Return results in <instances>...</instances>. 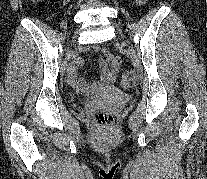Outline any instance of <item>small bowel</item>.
I'll return each mask as SVG.
<instances>
[{"mask_svg": "<svg viewBox=\"0 0 207 179\" xmlns=\"http://www.w3.org/2000/svg\"><path fill=\"white\" fill-rule=\"evenodd\" d=\"M143 3L145 0H138ZM92 51L100 54L99 68L101 77L99 81L89 83L84 79H78L77 70L83 64L80 57L74 58L68 74V85L78 92H97L114 83L119 75L120 60L107 48H99L98 46L90 47Z\"/></svg>", "mask_w": 207, "mask_h": 179, "instance_id": "small-bowel-1", "label": "small bowel"}]
</instances>
